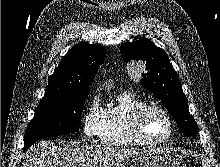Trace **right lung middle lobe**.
Here are the masks:
<instances>
[{
    "label": "right lung middle lobe",
    "mask_w": 220,
    "mask_h": 167,
    "mask_svg": "<svg viewBox=\"0 0 220 167\" xmlns=\"http://www.w3.org/2000/svg\"><path fill=\"white\" fill-rule=\"evenodd\" d=\"M89 90L72 91L42 99L24 136V150L34 142L79 130Z\"/></svg>",
    "instance_id": "right-lung-middle-lobe-1"
}]
</instances>
